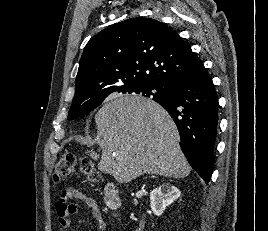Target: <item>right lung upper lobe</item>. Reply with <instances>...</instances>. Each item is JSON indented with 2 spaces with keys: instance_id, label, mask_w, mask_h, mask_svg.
<instances>
[{
  "instance_id": "cb5924a9",
  "label": "right lung upper lobe",
  "mask_w": 268,
  "mask_h": 231,
  "mask_svg": "<svg viewBox=\"0 0 268 231\" xmlns=\"http://www.w3.org/2000/svg\"><path fill=\"white\" fill-rule=\"evenodd\" d=\"M203 67L191 47L164 23L127 19L102 30L85 46L73 103L89 105L131 86L165 87Z\"/></svg>"
}]
</instances>
